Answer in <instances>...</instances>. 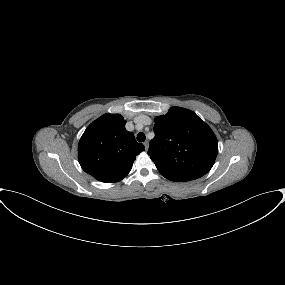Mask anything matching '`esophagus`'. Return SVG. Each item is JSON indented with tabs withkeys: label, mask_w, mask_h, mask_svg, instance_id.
Here are the masks:
<instances>
[{
	"label": "esophagus",
	"mask_w": 285,
	"mask_h": 285,
	"mask_svg": "<svg viewBox=\"0 0 285 285\" xmlns=\"http://www.w3.org/2000/svg\"><path fill=\"white\" fill-rule=\"evenodd\" d=\"M144 146H145V149L148 150V148H149V143H148L147 141H145V142H144Z\"/></svg>",
	"instance_id": "34e87169"
}]
</instances>
